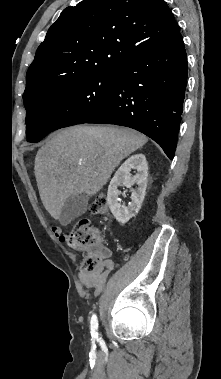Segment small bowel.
<instances>
[{
    "label": "small bowel",
    "mask_w": 221,
    "mask_h": 379,
    "mask_svg": "<svg viewBox=\"0 0 221 379\" xmlns=\"http://www.w3.org/2000/svg\"><path fill=\"white\" fill-rule=\"evenodd\" d=\"M111 252L108 249H102L100 253L101 264L94 272H82L79 275L81 282L90 289L94 290L97 295L104 287L107 273L113 268V263L110 260Z\"/></svg>",
    "instance_id": "c3829d8e"
}]
</instances>
